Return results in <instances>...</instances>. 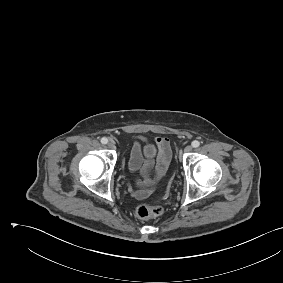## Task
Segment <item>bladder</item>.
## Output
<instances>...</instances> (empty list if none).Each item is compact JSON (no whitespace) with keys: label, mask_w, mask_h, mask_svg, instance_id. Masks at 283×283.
<instances>
[{"label":"bladder","mask_w":283,"mask_h":283,"mask_svg":"<svg viewBox=\"0 0 283 283\" xmlns=\"http://www.w3.org/2000/svg\"><path fill=\"white\" fill-rule=\"evenodd\" d=\"M145 154L148 156H154L155 154V147L153 145H147L145 147Z\"/></svg>","instance_id":"31cf9c89"}]
</instances>
